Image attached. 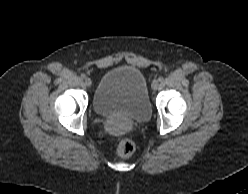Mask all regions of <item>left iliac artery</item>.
<instances>
[{"label": "left iliac artery", "mask_w": 248, "mask_h": 194, "mask_svg": "<svg viewBox=\"0 0 248 194\" xmlns=\"http://www.w3.org/2000/svg\"><path fill=\"white\" fill-rule=\"evenodd\" d=\"M158 80L161 82L163 81V77H159Z\"/></svg>", "instance_id": "obj_1"}]
</instances>
